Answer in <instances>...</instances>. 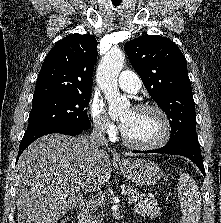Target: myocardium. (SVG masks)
Instances as JSON below:
<instances>
[{"mask_svg":"<svg viewBox=\"0 0 221 223\" xmlns=\"http://www.w3.org/2000/svg\"><path fill=\"white\" fill-rule=\"evenodd\" d=\"M136 110L153 111L157 113L163 122V132L158 140L149 144H142V143L133 142L130 139H128V137L125 135L122 129L121 131L122 142L127 147L135 149V150H140V151H153L165 146L170 140V137L172 134V123L167 113L161 107L154 104H148V103L138 105L136 107Z\"/></svg>","mask_w":221,"mask_h":223,"instance_id":"obj_1","label":"myocardium"}]
</instances>
